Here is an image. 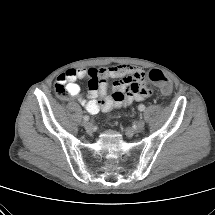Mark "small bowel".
Here are the masks:
<instances>
[{
	"label": "small bowel",
	"instance_id": "obj_1",
	"mask_svg": "<svg viewBox=\"0 0 215 215\" xmlns=\"http://www.w3.org/2000/svg\"><path fill=\"white\" fill-rule=\"evenodd\" d=\"M81 79L89 81L87 98L81 95L80 86L76 82ZM109 79H115L111 94H108ZM57 80L65 84L69 96L77 98L90 114L127 107L150 95L145 71L129 64L102 68H71L60 74ZM135 86L138 87L137 91L133 90Z\"/></svg>",
	"mask_w": 215,
	"mask_h": 215
}]
</instances>
